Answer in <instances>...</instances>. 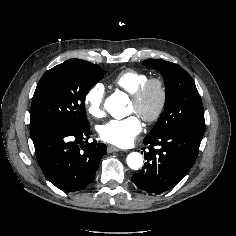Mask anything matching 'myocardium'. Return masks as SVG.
<instances>
[{
  "label": "myocardium",
  "mask_w": 236,
  "mask_h": 236,
  "mask_svg": "<svg viewBox=\"0 0 236 236\" xmlns=\"http://www.w3.org/2000/svg\"><path fill=\"white\" fill-rule=\"evenodd\" d=\"M152 90L158 93V103L152 112H146L143 105ZM132 102L136 105V113L147 123L156 122L164 112L167 103V88L165 82L158 77L149 78L134 94Z\"/></svg>",
  "instance_id": "f54148a6"
}]
</instances>
